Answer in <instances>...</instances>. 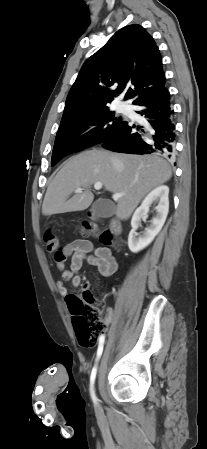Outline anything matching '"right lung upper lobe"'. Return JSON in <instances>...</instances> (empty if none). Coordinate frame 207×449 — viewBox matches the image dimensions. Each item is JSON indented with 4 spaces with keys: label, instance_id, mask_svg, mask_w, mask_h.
I'll list each match as a JSON object with an SVG mask.
<instances>
[{
    "label": "right lung upper lobe",
    "instance_id": "obj_1",
    "mask_svg": "<svg viewBox=\"0 0 207 449\" xmlns=\"http://www.w3.org/2000/svg\"><path fill=\"white\" fill-rule=\"evenodd\" d=\"M117 87V88H115ZM159 49L140 25L118 30L83 64L66 99L62 119L108 108L120 93L136 101L165 90Z\"/></svg>",
    "mask_w": 207,
    "mask_h": 449
}]
</instances>
